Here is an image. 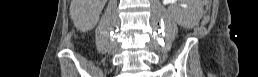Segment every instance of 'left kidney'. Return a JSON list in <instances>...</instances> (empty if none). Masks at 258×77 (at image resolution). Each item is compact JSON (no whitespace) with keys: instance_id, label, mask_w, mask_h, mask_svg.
Instances as JSON below:
<instances>
[{"instance_id":"5707ae66","label":"left kidney","mask_w":258,"mask_h":77,"mask_svg":"<svg viewBox=\"0 0 258 77\" xmlns=\"http://www.w3.org/2000/svg\"><path fill=\"white\" fill-rule=\"evenodd\" d=\"M169 1L177 2L179 0H169ZM175 19L180 25L188 27V26H191L194 24L195 16H194L191 8L186 7L184 9H181L179 7H176Z\"/></svg>"}]
</instances>
